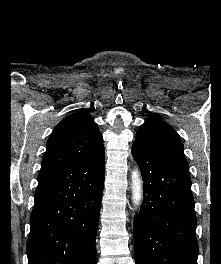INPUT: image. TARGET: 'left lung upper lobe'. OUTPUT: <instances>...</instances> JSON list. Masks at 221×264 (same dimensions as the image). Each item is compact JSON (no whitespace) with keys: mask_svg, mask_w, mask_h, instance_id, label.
I'll use <instances>...</instances> for the list:
<instances>
[{"mask_svg":"<svg viewBox=\"0 0 221 264\" xmlns=\"http://www.w3.org/2000/svg\"><path fill=\"white\" fill-rule=\"evenodd\" d=\"M133 144L156 157L188 167L181 139L176 131L160 118H147L139 127Z\"/></svg>","mask_w":221,"mask_h":264,"instance_id":"left-lung-upper-lobe-1","label":"left lung upper lobe"}]
</instances>
